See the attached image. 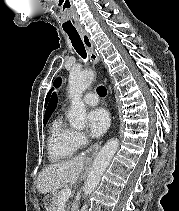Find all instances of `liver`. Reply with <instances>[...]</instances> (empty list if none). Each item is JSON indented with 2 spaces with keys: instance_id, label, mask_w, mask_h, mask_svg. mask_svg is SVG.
<instances>
[{
  "instance_id": "1",
  "label": "liver",
  "mask_w": 179,
  "mask_h": 211,
  "mask_svg": "<svg viewBox=\"0 0 179 211\" xmlns=\"http://www.w3.org/2000/svg\"><path fill=\"white\" fill-rule=\"evenodd\" d=\"M84 168L85 159L82 156L45 167L38 175V192L55 194L66 184L75 185Z\"/></svg>"
}]
</instances>
